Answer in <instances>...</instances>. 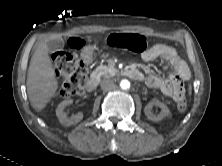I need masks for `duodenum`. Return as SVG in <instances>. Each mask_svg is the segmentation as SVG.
Here are the masks:
<instances>
[{"mask_svg": "<svg viewBox=\"0 0 222 166\" xmlns=\"http://www.w3.org/2000/svg\"><path fill=\"white\" fill-rule=\"evenodd\" d=\"M124 74L132 79L135 80H142L143 76L141 72L136 69H125ZM99 83V76L98 74L92 75L86 82V89L89 91H93L97 88Z\"/></svg>", "mask_w": 222, "mask_h": 166, "instance_id": "1", "label": "duodenum"}]
</instances>
